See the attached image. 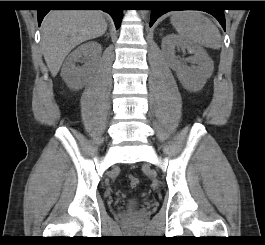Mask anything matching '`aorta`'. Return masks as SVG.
<instances>
[{
  "label": "aorta",
  "mask_w": 265,
  "mask_h": 245,
  "mask_svg": "<svg viewBox=\"0 0 265 245\" xmlns=\"http://www.w3.org/2000/svg\"><path fill=\"white\" fill-rule=\"evenodd\" d=\"M147 10H142V15L145 16L147 14Z\"/></svg>",
  "instance_id": "aorta-1"
}]
</instances>
